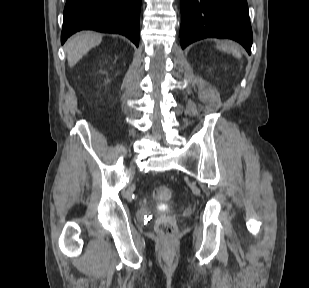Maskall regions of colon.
Returning <instances> with one entry per match:
<instances>
[{
	"label": "colon",
	"mask_w": 309,
	"mask_h": 288,
	"mask_svg": "<svg viewBox=\"0 0 309 288\" xmlns=\"http://www.w3.org/2000/svg\"><path fill=\"white\" fill-rule=\"evenodd\" d=\"M172 195V190L165 185L157 187L153 196L158 201H166ZM177 227L172 216H164L157 222V233L163 238H170L176 233Z\"/></svg>",
	"instance_id": "5ec220e1"
}]
</instances>
